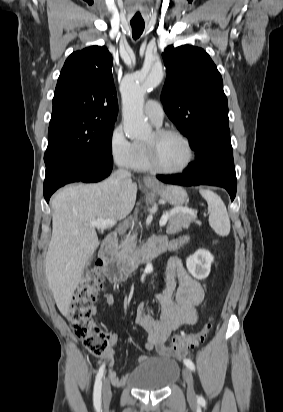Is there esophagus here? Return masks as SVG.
<instances>
[{
    "instance_id": "esophagus-1",
    "label": "esophagus",
    "mask_w": 283,
    "mask_h": 412,
    "mask_svg": "<svg viewBox=\"0 0 283 412\" xmlns=\"http://www.w3.org/2000/svg\"><path fill=\"white\" fill-rule=\"evenodd\" d=\"M144 183H145L146 185H151V186H153V185L156 184V181H155L154 178H152V177H150V176H145V177H144Z\"/></svg>"
}]
</instances>
